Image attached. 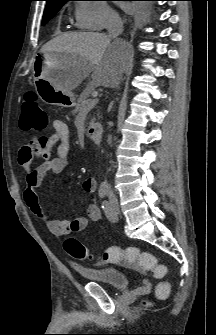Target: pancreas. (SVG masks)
<instances>
[{"mask_svg": "<svg viewBox=\"0 0 216 335\" xmlns=\"http://www.w3.org/2000/svg\"><path fill=\"white\" fill-rule=\"evenodd\" d=\"M91 87H88L87 90H85L81 95L80 97L78 98L77 100V104H76V107L74 109V113H77L81 110H89V103H90V100L88 99L89 95H90V92H91ZM95 121V118H92L91 119V123H93Z\"/></svg>", "mask_w": 216, "mask_h": 335, "instance_id": "cf45deb5", "label": "pancreas"}]
</instances>
